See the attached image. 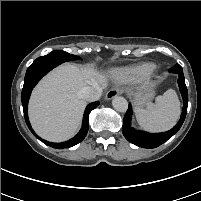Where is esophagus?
<instances>
[{
    "instance_id": "esophagus-1",
    "label": "esophagus",
    "mask_w": 201,
    "mask_h": 201,
    "mask_svg": "<svg viewBox=\"0 0 201 201\" xmlns=\"http://www.w3.org/2000/svg\"><path fill=\"white\" fill-rule=\"evenodd\" d=\"M120 93H121V91L118 88H111L106 93V99L111 100L114 97H116L117 95H119Z\"/></svg>"
}]
</instances>
